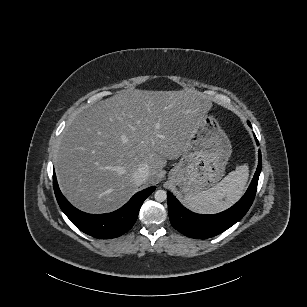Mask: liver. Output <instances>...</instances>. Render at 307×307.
I'll return each instance as SVG.
<instances>
[{"label":"liver","instance_id":"1","mask_svg":"<svg viewBox=\"0 0 307 307\" xmlns=\"http://www.w3.org/2000/svg\"><path fill=\"white\" fill-rule=\"evenodd\" d=\"M211 107L192 89L125 90L89 107L68 125L55 157L63 194L88 213L116 210L136 192L138 167L147 164L146 181H155Z\"/></svg>","mask_w":307,"mask_h":307}]
</instances>
